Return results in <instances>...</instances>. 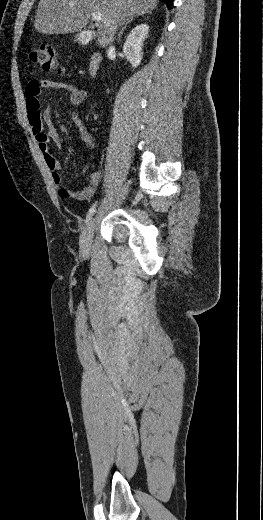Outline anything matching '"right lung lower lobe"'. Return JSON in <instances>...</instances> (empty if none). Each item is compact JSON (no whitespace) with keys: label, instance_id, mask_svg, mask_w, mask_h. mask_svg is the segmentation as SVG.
I'll return each instance as SVG.
<instances>
[{"label":"right lung lower lobe","instance_id":"obj_1","mask_svg":"<svg viewBox=\"0 0 263 520\" xmlns=\"http://www.w3.org/2000/svg\"><path fill=\"white\" fill-rule=\"evenodd\" d=\"M160 1H163L167 5L168 9L171 8V5L173 3V0H160Z\"/></svg>","mask_w":263,"mask_h":520}]
</instances>
